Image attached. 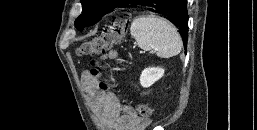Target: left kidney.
<instances>
[{
	"label": "left kidney",
	"mask_w": 257,
	"mask_h": 130,
	"mask_svg": "<svg viewBox=\"0 0 257 130\" xmlns=\"http://www.w3.org/2000/svg\"><path fill=\"white\" fill-rule=\"evenodd\" d=\"M164 75V69L160 67L145 68L140 76V84L144 87H150Z\"/></svg>",
	"instance_id": "1"
}]
</instances>
